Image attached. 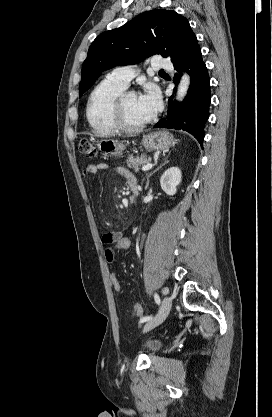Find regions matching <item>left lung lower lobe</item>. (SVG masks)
<instances>
[{
    "mask_svg": "<svg viewBox=\"0 0 272 417\" xmlns=\"http://www.w3.org/2000/svg\"><path fill=\"white\" fill-rule=\"evenodd\" d=\"M174 68L180 75L182 71H188L191 78L188 95L181 104L174 103L172 106L170 98L166 118L159 120L154 127L185 130L191 133L202 145L204 126L209 117L211 96L210 78L202 60L200 47L175 63ZM177 78L178 75L175 74L174 82H177Z\"/></svg>",
    "mask_w": 272,
    "mask_h": 417,
    "instance_id": "obj_1",
    "label": "left lung lower lobe"
}]
</instances>
